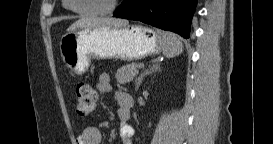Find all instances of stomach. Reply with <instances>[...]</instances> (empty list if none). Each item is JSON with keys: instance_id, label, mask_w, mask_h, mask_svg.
<instances>
[{"instance_id": "stomach-1", "label": "stomach", "mask_w": 273, "mask_h": 144, "mask_svg": "<svg viewBox=\"0 0 273 144\" xmlns=\"http://www.w3.org/2000/svg\"><path fill=\"white\" fill-rule=\"evenodd\" d=\"M158 32L142 26L83 28L66 33L60 52L66 66L75 74L87 71L92 58L133 61L162 51Z\"/></svg>"}]
</instances>
